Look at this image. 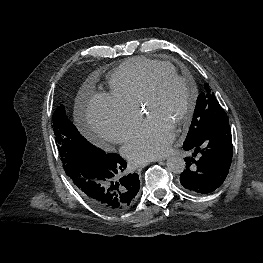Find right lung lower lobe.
<instances>
[{
  "label": "right lung lower lobe",
  "instance_id": "right-lung-lower-lobe-1",
  "mask_svg": "<svg viewBox=\"0 0 263 263\" xmlns=\"http://www.w3.org/2000/svg\"><path fill=\"white\" fill-rule=\"evenodd\" d=\"M126 167L125 160L110 153L77 162L67 175L88 203L103 211L118 212L134 203L140 188L136 173L121 174Z\"/></svg>",
  "mask_w": 263,
  "mask_h": 263
}]
</instances>
